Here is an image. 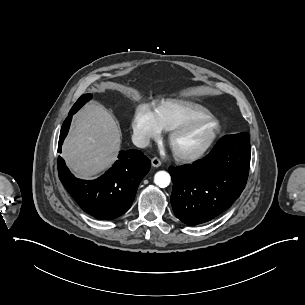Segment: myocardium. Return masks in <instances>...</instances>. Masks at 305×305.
<instances>
[{"label": "myocardium", "instance_id": "myocardium-1", "mask_svg": "<svg viewBox=\"0 0 305 305\" xmlns=\"http://www.w3.org/2000/svg\"><path fill=\"white\" fill-rule=\"evenodd\" d=\"M204 121H213L215 123V130L212 133L210 139L202 146L196 148H184L180 146V141L183 138L186 131L199 123ZM223 133V125L220 119L213 113L189 120L178 126L170 135L169 144L172 150L173 156L176 160L181 162H191L194 161L209 151H211L214 146L219 141Z\"/></svg>", "mask_w": 305, "mask_h": 305}]
</instances>
